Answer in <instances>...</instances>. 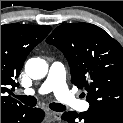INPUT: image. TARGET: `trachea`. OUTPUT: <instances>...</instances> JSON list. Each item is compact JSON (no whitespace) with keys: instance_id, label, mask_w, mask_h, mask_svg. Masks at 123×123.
<instances>
[{"instance_id":"1","label":"trachea","mask_w":123,"mask_h":123,"mask_svg":"<svg viewBox=\"0 0 123 123\" xmlns=\"http://www.w3.org/2000/svg\"><path fill=\"white\" fill-rule=\"evenodd\" d=\"M14 97L19 99L22 103L30 107H34L37 104V99L33 96H25V95L15 96L14 95ZM49 107L50 109L54 111H58V112H62L66 110V106L60 103H50Z\"/></svg>"}]
</instances>
